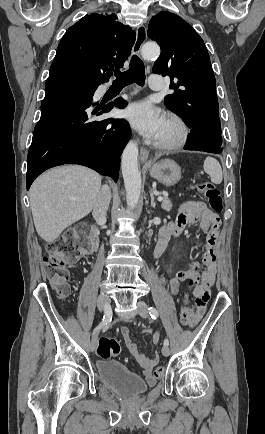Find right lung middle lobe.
<instances>
[{"mask_svg": "<svg viewBox=\"0 0 265 434\" xmlns=\"http://www.w3.org/2000/svg\"><path fill=\"white\" fill-rule=\"evenodd\" d=\"M64 76H70V77H75V78H86V79H90V78H87V77L73 76V75H64ZM90 80H93V79H90Z\"/></svg>", "mask_w": 265, "mask_h": 434, "instance_id": "dd1d6c3e", "label": "right lung middle lobe"}]
</instances>
